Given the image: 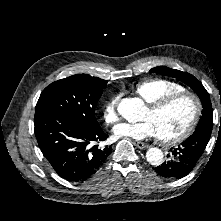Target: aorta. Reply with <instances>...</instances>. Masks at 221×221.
<instances>
[{"instance_id": "1", "label": "aorta", "mask_w": 221, "mask_h": 221, "mask_svg": "<svg viewBox=\"0 0 221 221\" xmlns=\"http://www.w3.org/2000/svg\"><path fill=\"white\" fill-rule=\"evenodd\" d=\"M143 104L138 99L125 98L118 105V112L129 122H136L139 119ZM163 152L159 148L152 147L146 152L147 161L154 166L160 165L163 161Z\"/></svg>"}]
</instances>
